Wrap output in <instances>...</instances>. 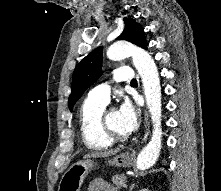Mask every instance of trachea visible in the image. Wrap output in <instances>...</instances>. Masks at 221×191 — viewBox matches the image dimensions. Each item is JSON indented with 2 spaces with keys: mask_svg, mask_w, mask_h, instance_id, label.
<instances>
[{
  "mask_svg": "<svg viewBox=\"0 0 221 191\" xmlns=\"http://www.w3.org/2000/svg\"><path fill=\"white\" fill-rule=\"evenodd\" d=\"M131 84H137V80H136V79H133V80L131 81Z\"/></svg>",
  "mask_w": 221,
  "mask_h": 191,
  "instance_id": "1",
  "label": "trachea"
}]
</instances>
